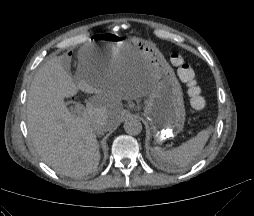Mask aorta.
Listing matches in <instances>:
<instances>
[{"mask_svg": "<svg viewBox=\"0 0 254 216\" xmlns=\"http://www.w3.org/2000/svg\"><path fill=\"white\" fill-rule=\"evenodd\" d=\"M124 130L129 135H138L142 131V123L135 117H129L124 122Z\"/></svg>", "mask_w": 254, "mask_h": 216, "instance_id": "1", "label": "aorta"}]
</instances>
